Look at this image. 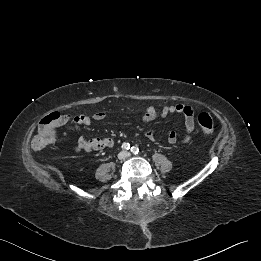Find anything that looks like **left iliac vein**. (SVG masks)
I'll return each instance as SVG.
<instances>
[{
  "instance_id": "4c4485c4",
  "label": "left iliac vein",
  "mask_w": 261,
  "mask_h": 261,
  "mask_svg": "<svg viewBox=\"0 0 261 261\" xmlns=\"http://www.w3.org/2000/svg\"><path fill=\"white\" fill-rule=\"evenodd\" d=\"M126 156H127V157H130V156H131V154H130V153H126Z\"/></svg>"
}]
</instances>
